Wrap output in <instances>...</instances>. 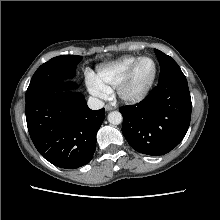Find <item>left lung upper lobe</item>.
<instances>
[{"mask_svg": "<svg viewBox=\"0 0 220 220\" xmlns=\"http://www.w3.org/2000/svg\"><path fill=\"white\" fill-rule=\"evenodd\" d=\"M157 59L160 62V77L159 81H162L168 77L183 75L178 64L173 60L172 57L164 54L158 49H154Z\"/></svg>", "mask_w": 220, "mask_h": 220, "instance_id": "5c2ea615", "label": "left lung upper lobe"}]
</instances>
